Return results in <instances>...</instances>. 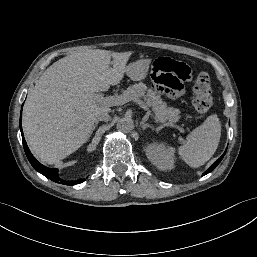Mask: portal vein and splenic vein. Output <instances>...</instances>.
I'll return each instance as SVG.
<instances>
[{
	"instance_id": "18ae733b",
	"label": "portal vein and splenic vein",
	"mask_w": 257,
	"mask_h": 257,
	"mask_svg": "<svg viewBox=\"0 0 257 257\" xmlns=\"http://www.w3.org/2000/svg\"><path fill=\"white\" fill-rule=\"evenodd\" d=\"M95 98L105 104V105H109V106H119V105H123L131 100H133L134 102H136L141 108H143L144 110L147 111V113L150 115L151 111L148 107V105H146L143 101L138 100V99H130L128 98L126 95L121 94L119 96H106L104 97L102 94H95ZM156 122H158V120H155ZM166 125L168 126H174L171 123H167Z\"/></svg>"
}]
</instances>
